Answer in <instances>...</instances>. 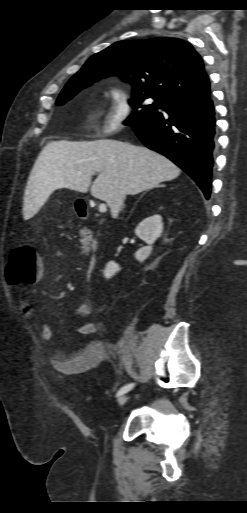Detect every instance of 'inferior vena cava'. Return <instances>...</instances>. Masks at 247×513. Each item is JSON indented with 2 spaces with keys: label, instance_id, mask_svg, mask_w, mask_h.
I'll use <instances>...</instances> for the list:
<instances>
[{
  "label": "inferior vena cava",
  "instance_id": "602c4592",
  "mask_svg": "<svg viewBox=\"0 0 247 513\" xmlns=\"http://www.w3.org/2000/svg\"><path fill=\"white\" fill-rule=\"evenodd\" d=\"M123 201H124V198L123 199H120V204L123 205Z\"/></svg>",
  "mask_w": 247,
  "mask_h": 513
}]
</instances>
